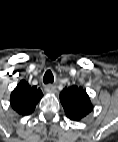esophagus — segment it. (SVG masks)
<instances>
[{"label": "esophagus", "instance_id": "esophagus-1", "mask_svg": "<svg viewBox=\"0 0 118 142\" xmlns=\"http://www.w3.org/2000/svg\"><path fill=\"white\" fill-rule=\"evenodd\" d=\"M45 91L48 93H55L57 91L56 86L52 84H47L45 86Z\"/></svg>", "mask_w": 118, "mask_h": 142}]
</instances>
